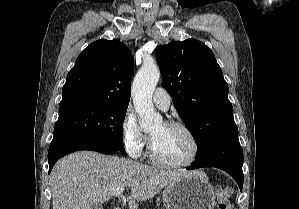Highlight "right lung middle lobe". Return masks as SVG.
Returning a JSON list of instances; mask_svg holds the SVG:
<instances>
[{
	"label": "right lung middle lobe",
	"mask_w": 299,
	"mask_h": 209,
	"mask_svg": "<svg viewBox=\"0 0 299 209\" xmlns=\"http://www.w3.org/2000/svg\"><path fill=\"white\" fill-rule=\"evenodd\" d=\"M127 108L105 103L60 104L55 134L102 140L124 151L122 126Z\"/></svg>",
	"instance_id": "dd1d6c3e"
}]
</instances>
